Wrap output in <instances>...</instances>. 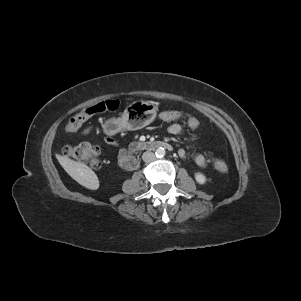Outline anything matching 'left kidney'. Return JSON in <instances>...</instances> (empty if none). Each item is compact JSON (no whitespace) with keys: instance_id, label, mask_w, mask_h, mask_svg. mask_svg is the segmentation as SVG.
<instances>
[{"instance_id":"left-kidney-1","label":"left kidney","mask_w":301,"mask_h":301,"mask_svg":"<svg viewBox=\"0 0 301 301\" xmlns=\"http://www.w3.org/2000/svg\"><path fill=\"white\" fill-rule=\"evenodd\" d=\"M195 180L201 185L206 183V177L202 173H195Z\"/></svg>"}]
</instances>
